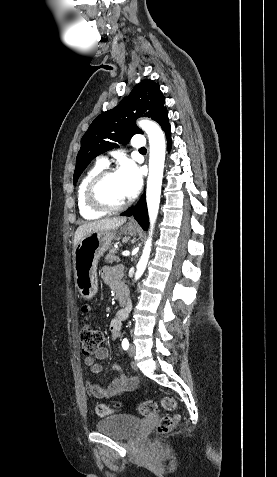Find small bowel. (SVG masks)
<instances>
[{"label": "small bowel", "mask_w": 277, "mask_h": 477, "mask_svg": "<svg viewBox=\"0 0 277 477\" xmlns=\"http://www.w3.org/2000/svg\"><path fill=\"white\" fill-rule=\"evenodd\" d=\"M123 274L121 266H104L101 269L102 280L110 285L117 293L125 292L124 287L120 281ZM126 314L119 312L110 322V333L112 340H116L121 333V322ZM108 349L100 347L93 355L86 356L84 364L90 369L93 374L102 372L103 367L97 360H103L108 357ZM113 371L117 374L112 380L109 387L104 389L98 384L87 381L86 389L88 394L97 399H112L116 396L133 391L138 385V379L134 376H127L118 365L113 366Z\"/></svg>", "instance_id": "small-bowel-1"}]
</instances>
